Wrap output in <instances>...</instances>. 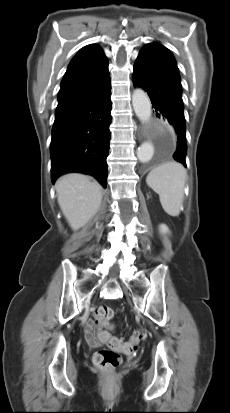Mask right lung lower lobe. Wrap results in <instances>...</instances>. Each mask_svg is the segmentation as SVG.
Returning a JSON list of instances; mask_svg holds the SVG:
<instances>
[{
	"instance_id": "obj_1",
	"label": "right lung lower lobe",
	"mask_w": 230,
	"mask_h": 413,
	"mask_svg": "<svg viewBox=\"0 0 230 413\" xmlns=\"http://www.w3.org/2000/svg\"><path fill=\"white\" fill-rule=\"evenodd\" d=\"M109 71L62 86L52 128V181L61 174L81 172L107 186L111 123Z\"/></svg>"
}]
</instances>
